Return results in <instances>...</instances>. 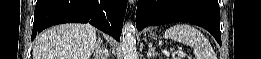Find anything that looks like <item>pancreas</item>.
Masks as SVG:
<instances>
[{"instance_id":"cf45deb5","label":"pancreas","mask_w":261,"mask_h":59,"mask_svg":"<svg viewBox=\"0 0 261 59\" xmlns=\"http://www.w3.org/2000/svg\"><path fill=\"white\" fill-rule=\"evenodd\" d=\"M173 59H179V57L177 58V57H173Z\"/></svg>"}]
</instances>
